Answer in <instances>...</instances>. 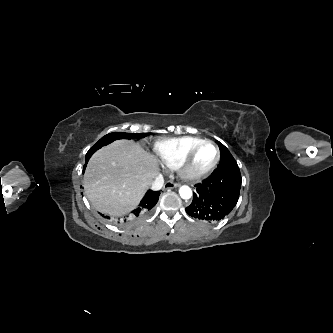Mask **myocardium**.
Returning <instances> with one entry per match:
<instances>
[{
  "instance_id": "myocardium-1",
  "label": "myocardium",
  "mask_w": 333,
  "mask_h": 333,
  "mask_svg": "<svg viewBox=\"0 0 333 333\" xmlns=\"http://www.w3.org/2000/svg\"><path fill=\"white\" fill-rule=\"evenodd\" d=\"M205 145H212L216 149V158L208 167L202 170H193L191 165L193 162L194 157L196 156L197 152ZM221 153L218 145L208 139H205L195 145L183 158L179 166L177 167L180 176L187 181H194L203 178L204 176L208 175L211 171H213L220 161Z\"/></svg>"
}]
</instances>
